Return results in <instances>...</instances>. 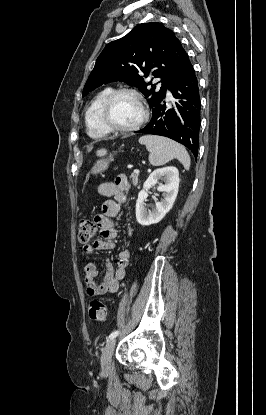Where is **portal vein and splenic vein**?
I'll return each instance as SVG.
<instances>
[{
  "instance_id": "portal-vein-and-splenic-vein-1",
  "label": "portal vein and splenic vein",
  "mask_w": 266,
  "mask_h": 415,
  "mask_svg": "<svg viewBox=\"0 0 266 415\" xmlns=\"http://www.w3.org/2000/svg\"><path fill=\"white\" fill-rule=\"evenodd\" d=\"M139 172L140 171L138 169H134V171H133L134 174H139Z\"/></svg>"
}]
</instances>
